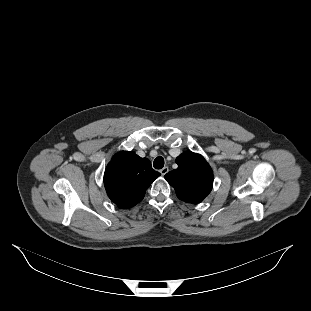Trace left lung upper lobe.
Instances as JSON below:
<instances>
[{"label":"left lung upper lobe","mask_w":311,"mask_h":311,"mask_svg":"<svg viewBox=\"0 0 311 311\" xmlns=\"http://www.w3.org/2000/svg\"><path fill=\"white\" fill-rule=\"evenodd\" d=\"M178 168L168 172L165 179L174 187L177 197L189 203H200L210 193L213 172L199 154L183 152L176 158Z\"/></svg>","instance_id":"left-lung-upper-lobe-1"}]
</instances>
